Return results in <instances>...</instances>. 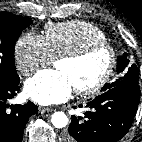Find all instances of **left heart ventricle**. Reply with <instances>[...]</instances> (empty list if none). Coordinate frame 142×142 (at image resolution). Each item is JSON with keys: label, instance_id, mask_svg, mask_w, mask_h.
Listing matches in <instances>:
<instances>
[{"label": "left heart ventricle", "instance_id": "obj_1", "mask_svg": "<svg viewBox=\"0 0 142 142\" xmlns=\"http://www.w3.org/2000/svg\"><path fill=\"white\" fill-rule=\"evenodd\" d=\"M108 62V54L100 51L79 62L59 60L56 68L65 72L70 77L74 88H77L89 86L99 80L104 74Z\"/></svg>", "mask_w": 142, "mask_h": 142}]
</instances>
